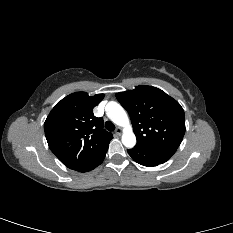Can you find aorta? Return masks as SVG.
Wrapping results in <instances>:
<instances>
[{"instance_id": "762f6f07", "label": "aorta", "mask_w": 233, "mask_h": 233, "mask_svg": "<svg viewBox=\"0 0 233 233\" xmlns=\"http://www.w3.org/2000/svg\"><path fill=\"white\" fill-rule=\"evenodd\" d=\"M106 115L118 126L124 128L122 135V143L127 148H133L136 144V136L133 133L129 118L122 106L116 102H109L106 105Z\"/></svg>"}]
</instances>
